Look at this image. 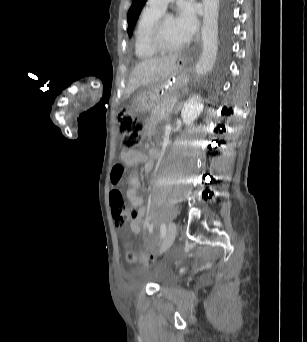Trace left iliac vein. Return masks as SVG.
Segmentation results:
<instances>
[{
    "instance_id": "1",
    "label": "left iliac vein",
    "mask_w": 307,
    "mask_h": 342,
    "mask_svg": "<svg viewBox=\"0 0 307 342\" xmlns=\"http://www.w3.org/2000/svg\"><path fill=\"white\" fill-rule=\"evenodd\" d=\"M177 235V225L174 222H171L167 229V234L161 244L159 253L163 254L174 242L175 237Z\"/></svg>"
}]
</instances>
